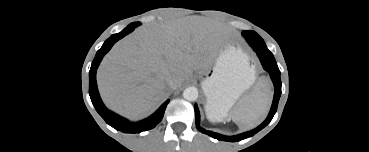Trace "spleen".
<instances>
[{
    "label": "spleen",
    "mask_w": 369,
    "mask_h": 152,
    "mask_svg": "<svg viewBox=\"0 0 369 152\" xmlns=\"http://www.w3.org/2000/svg\"><path fill=\"white\" fill-rule=\"evenodd\" d=\"M272 101L271 91L260 85L244 97L231 111L232 120L241 128L250 129L258 125L267 115ZM210 119V117H208Z\"/></svg>",
    "instance_id": "spleen-1"
}]
</instances>
